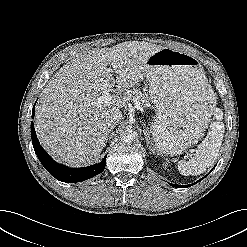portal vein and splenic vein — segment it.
I'll list each match as a JSON object with an SVG mask.
<instances>
[{
  "instance_id": "obj_1",
  "label": "portal vein and splenic vein",
  "mask_w": 247,
  "mask_h": 247,
  "mask_svg": "<svg viewBox=\"0 0 247 247\" xmlns=\"http://www.w3.org/2000/svg\"><path fill=\"white\" fill-rule=\"evenodd\" d=\"M111 101H112V96H111V94L109 93V92H104L103 94H102V96H100L99 98H98V103H101V104H110L111 103ZM136 106L138 107L140 104H138V102H136Z\"/></svg>"
}]
</instances>
